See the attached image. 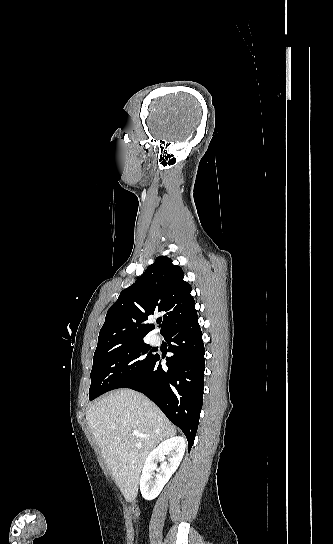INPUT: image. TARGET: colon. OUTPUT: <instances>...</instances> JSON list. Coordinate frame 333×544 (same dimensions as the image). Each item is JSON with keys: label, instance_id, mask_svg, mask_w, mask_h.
<instances>
[{"label": "colon", "instance_id": "colon-1", "mask_svg": "<svg viewBox=\"0 0 333 544\" xmlns=\"http://www.w3.org/2000/svg\"><path fill=\"white\" fill-rule=\"evenodd\" d=\"M131 509H132L133 515H134L135 517H137L138 514H139L138 507H137L136 505H132Z\"/></svg>", "mask_w": 333, "mask_h": 544}]
</instances>
